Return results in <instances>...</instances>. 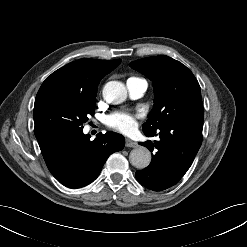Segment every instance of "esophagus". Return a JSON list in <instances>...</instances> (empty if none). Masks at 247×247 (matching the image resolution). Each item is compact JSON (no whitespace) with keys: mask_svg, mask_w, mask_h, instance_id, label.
Wrapping results in <instances>:
<instances>
[{"mask_svg":"<svg viewBox=\"0 0 247 247\" xmlns=\"http://www.w3.org/2000/svg\"><path fill=\"white\" fill-rule=\"evenodd\" d=\"M125 144H126V147H131V148L138 147V144L129 138L126 139Z\"/></svg>","mask_w":247,"mask_h":247,"instance_id":"34e87169","label":"esophagus"}]
</instances>
